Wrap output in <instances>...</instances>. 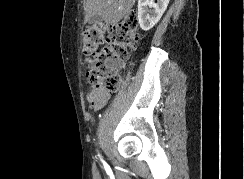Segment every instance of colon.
I'll list each match as a JSON object with an SVG mask.
<instances>
[{
	"instance_id": "5ec220e1",
	"label": "colon",
	"mask_w": 244,
	"mask_h": 179,
	"mask_svg": "<svg viewBox=\"0 0 244 179\" xmlns=\"http://www.w3.org/2000/svg\"><path fill=\"white\" fill-rule=\"evenodd\" d=\"M106 34L120 40L107 41ZM138 42L139 28L131 17L113 25L98 23L85 28L82 52L86 57L84 69L88 83L103 93L116 92L120 86V78L115 74L117 64L128 58Z\"/></svg>"
}]
</instances>
